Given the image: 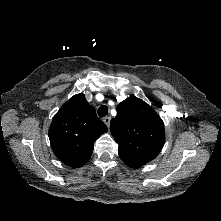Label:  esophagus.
Returning a JSON list of instances; mask_svg holds the SVG:
<instances>
[{"label": "esophagus", "mask_w": 221, "mask_h": 221, "mask_svg": "<svg viewBox=\"0 0 221 221\" xmlns=\"http://www.w3.org/2000/svg\"><path fill=\"white\" fill-rule=\"evenodd\" d=\"M110 121H111V117H105V118L103 119V122H104L107 126L110 125Z\"/></svg>", "instance_id": "obj_1"}]
</instances>
